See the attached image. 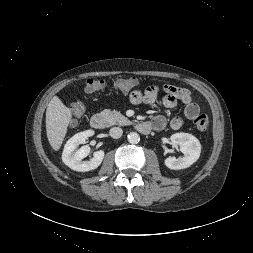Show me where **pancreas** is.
Returning <instances> with one entry per match:
<instances>
[{
    "instance_id": "1",
    "label": "pancreas",
    "mask_w": 253,
    "mask_h": 253,
    "mask_svg": "<svg viewBox=\"0 0 253 253\" xmlns=\"http://www.w3.org/2000/svg\"><path fill=\"white\" fill-rule=\"evenodd\" d=\"M101 114L104 116L109 125H127L131 123L128 118L115 110L111 111L109 109H105L101 112Z\"/></svg>"
}]
</instances>
